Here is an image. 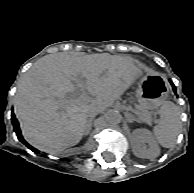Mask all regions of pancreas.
<instances>
[{
	"mask_svg": "<svg viewBox=\"0 0 194 193\" xmlns=\"http://www.w3.org/2000/svg\"><path fill=\"white\" fill-rule=\"evenodd\" d=\"M135 115H132L131 117L136 120L137 122H145L148 124H151L153 119L150 113L147 111H140L139 109L134 110Z\"/></svg>",
	"mask_w": 194,
	"mask_h": 193,
	"instance_id": "1",
	"label": "pancreas"
}]
</instances>
